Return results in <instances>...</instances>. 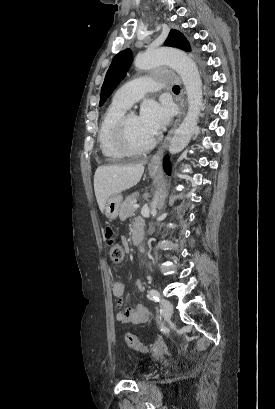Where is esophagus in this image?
I'll list each match as a JSON object with an SVG mask.
<instances>
[{
	"instance_id": "obj_1",
	"label": "esophagus",
	"mask_w": 275,
	"mask_h": 409,
	"mask_svg": "<svg viewBox=\"0 0 275 409\" xmlns=\"http://www.w3.org/2000/svg\"><path fill=\"white\" fill-rule=\"evenodd\" d=\"M185 113V106H184V102H181L180 105V113H179V117L178 119L175 121L173 127L169 130L168 134L166 135V138L164 139L163 144L161 145V147L157 150V152L155 153V155L153 156V159H161V157L163 156V153L165 151V149L167 148L169 141L171 139V137L173 136L174 132H175V128L177 127L178 123L181 120V117L184 115Z\"/></svg>"
}]
</instances>
